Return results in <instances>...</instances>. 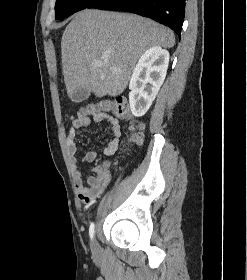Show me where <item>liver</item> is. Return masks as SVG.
<instances>
[{"label": "liver", "instance_id": "1", "mask_svg": "<svg viewBox=\"0 0 247 280\" xmlns=\"http://www.w3.org/2000/svg\"><path fill=\"white\" fill-rule=\"evenodd\" d=\"M171 30L138 15L85 9L65 28L62 68L68 97L81 88L96 97H115L127 87L137 60L147 49L171 48ZM102 62L103 65H97Z\"/></svg>", "mask_w": 247, "mask_h": 280}]
</instances>
